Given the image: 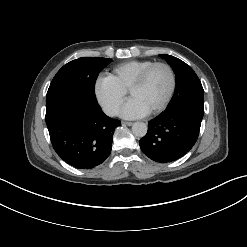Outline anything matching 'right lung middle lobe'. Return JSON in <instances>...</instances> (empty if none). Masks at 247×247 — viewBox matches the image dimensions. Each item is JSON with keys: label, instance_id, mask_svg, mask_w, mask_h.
Instances as JSON below:
<instances>
[{"label": "right lung middle lobe", "instance_id": "dd1d6c3e", "mask_svg": "<svg viewBox=\"0 0 247 247\" xmlns=\"http://www.w3.org/2000/svg\"><path fill=\"white\" fill-rule=\"evenodd\" d=\"M111 62V59L101 57H82L65 64L49 86L46 103L65 95L82 96L97 101L94 92L96 79Z\"/></svg>", "mask_w": 247, "mask_h": 247}]
</instances>
